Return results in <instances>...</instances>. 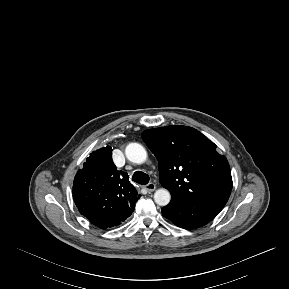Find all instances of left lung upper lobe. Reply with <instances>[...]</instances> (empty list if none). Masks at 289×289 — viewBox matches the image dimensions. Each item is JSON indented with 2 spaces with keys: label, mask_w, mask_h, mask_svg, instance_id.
Instances as JSON below:
<instances>
[{
  "label": "left lung upper lobe",
  "mask_w": 289,
  "mask_h": 289,
  "mask_svg": "<svg viewBox=\"0 0 289 289\" xmlns=\"http://www.w3.org/2000/svg\"><path fill=\"white\" fill-rule=\"evenodd\" d=\"M142 138L158 159L160 183L171 198L223 209L232 177L227 159L212 141L194 128L177 125L145 130Z\"/></svg>",
  "instance_id": "1"
}]
</instances>
